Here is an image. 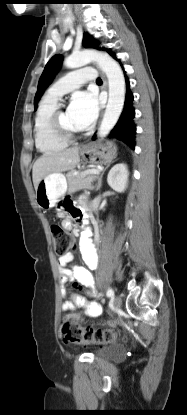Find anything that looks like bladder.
I'll use <instances>...</instances> for the list:
<instances>
[{
  "label": "bladder",
  "instance_id": "31cf9c89",
  "mask_svg": "<svg viewBox=\"0 0 187 415\" xmlns=\"http://www.w3.org/2000/svg\"><path fill=\"white\" fill-rule=\"evenodd\" d=\"M93 354L100 359L115 360L124 356L125 348L121 343H110L94 350Z\"/></svg>",
  "mask_w": 187,
  "mask_h": 415
}]
</instances>
